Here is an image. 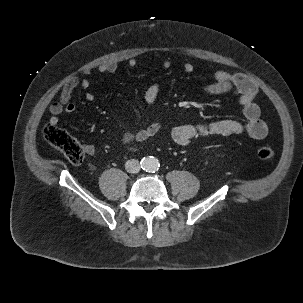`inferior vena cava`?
Segmentation results:
<instances>
[{"instance_id": "obj_1", "label": "inferior vena cava", "mask_w": 303, "mask_h": 303, "mask_svg": "<svg viewBox=\"0 0 303 303\" xmlns=\"http://www.w3.org/2000/svg\"><path fill=\"white\" fill-rule=\"evenodd\" d=\"M125 169L129 173H138L140 171V164L135 159H130L125 164Z\"/></svg>"}]
</instances>
